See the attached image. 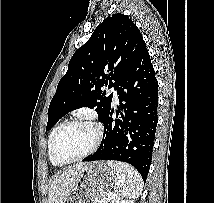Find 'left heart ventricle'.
<instances>
[{"mask_svg":"<svg viewBox=\"0 0 214 203\" xmlns=\"http://www.w3.org/2000/svg\"><path fill=\"white\" fill-rule=\"evenodd\" d=\"M95 130L88 124H75L68 127L57 143V157L67 161L85 153L95 140Z\"/></svg>","mask_w":214,"mask_h":203,"instance_id":"1","label":"left heart ventricle"}]
</instances>
